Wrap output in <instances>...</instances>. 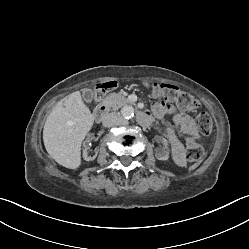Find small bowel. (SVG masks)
<instances>
[{"label": "small bowel", "mask_w": 249, "mask_h": 249, "mask_svg": "<svg viewBox=\"0 0 249 249\" xmlns=\"http://www.w3.org/2000/svg\"><path fill=\"white\" fill-rule=\"evenodd\" d=\"M169 115L172 116L174 128L171 126H167L166 134L170 142L175 162L178 165H183L185 160L182 138L190 135L193 136L194 139H197L199 136L196 132L194 121L190 116H188L184 112L170 109L164 102L154 103L151 110L147 112L148 117H156L158 119H164Z\"/></svg>", "instance_id": "1"}]
</instances>
